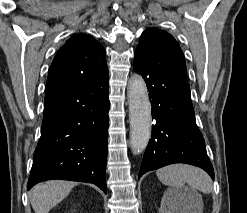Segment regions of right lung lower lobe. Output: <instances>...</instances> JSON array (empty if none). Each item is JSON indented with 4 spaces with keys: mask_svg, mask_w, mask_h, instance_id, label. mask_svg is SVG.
Masks as SVG:
<instances>
[{
    "mask_svg": "<svg viewBox=\"0 0 247 213\" xmlns=\"http://www.w3.org/2000/svg\"><path fill=\"white\" fill-rule=\"evenodd\" d=\"M108 73L45 94L41 137L27 184L63 179L107 192Z\"/></svg>",
    "mask_w": 247,
    "mask_h": 213,
    "instance_id": "1",
    "label": "right lung lower lobe"
}]
</instances>
